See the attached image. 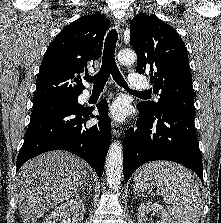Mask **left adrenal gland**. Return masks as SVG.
<instances>
[{
    "label": "left adrenal gland",
    "instance_id": "left-adrenal-gland-1",
    "mask_svg": "<svg viewBox=\"0 0 221 223\" xmlns=\"http://www.w3.org/2000/svg\"><path fill=\"white\" fill-rule=\"evenodd\" d=\"M135 195H136V197H135V198L139 197V195H138V194H135Z\"/></svg>",
    "mask_w": 221,
    "mask_h": 223
}]
</instances>
